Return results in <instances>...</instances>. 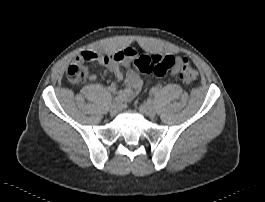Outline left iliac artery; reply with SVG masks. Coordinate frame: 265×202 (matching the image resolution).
Here are the masks:
<instances>
[{
    "label": "left iliac artery",
    "mask_w": 265,
    "mask_h": 202,
    "mask_svg": "<svg viewBox=\"0 0 265 202\" xmlns=\"http://www.w3.org/2000/svg\"><path fill=\"white\" fill-rule=\"evenodd\" d=\"M150 93H151V94H156V93H157V89H156V88H152V89L150 90Z\"/></svg>",
    "instance_id": "44dca946"
}]
</instances>
